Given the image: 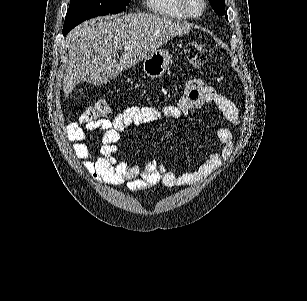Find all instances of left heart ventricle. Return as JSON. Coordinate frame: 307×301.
I'll return each instance as SVG.
<instances>
[{"label":"left heart ventricle","instance_id":"left-heart-ventricle-1","mask_svg":"<svg viewBox=\"0 0 307 301\" xmlns=\"http://www.w3.org/2000/svg\"><path fill=\"white\" fill-rule=\"evenodd\" d=\"M190 2L193 3V0H190ZM196 11H197L196 6H192L189 13H196Z\"/></svg>","mask_w":307,"mask_h":301}]
</instances>
